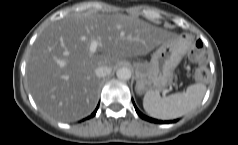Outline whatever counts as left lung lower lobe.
Returning <instances> with one entry per match:
<instances>
[{"label": "left lung lower lobe", "mask_w": 238, "mask_h": 145, "mask_svg": "<svg viewBox=\"0 0 238 145\" xmlns=\"http://www.w3.org/2000/svg\"><path fill=\"white\" fill-rule=\"evenodd\" d=\"M133 104H134L135 110H136V112L138 113V115H139L142 119H144V120H147V121H149V122L159 123V124L175 122V121H161V120H156V119L147 117V116L143 115V114L138 110V108L136 107L134 101H133Z\"/></svg>", "instance_id": "1"}]
</instances>
